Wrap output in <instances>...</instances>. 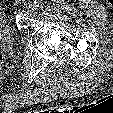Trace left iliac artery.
<instances>
[{
    "label": "left iliac artery",
    "mask_w": 113,
    "mask_h": 113,
    "mask_svg": "<svg viewBox=\"0 0 113 113\" xmlns=\"http://www.w3.org/2000/svg\"><path fill=\"white\" fill-rule=\"evenodd\" d=\"M34 3L36 7H40L42 5V0H35Z\"/></svg>",
    "instance_id": "left-iliac-artery-1"
}]
</instances>
